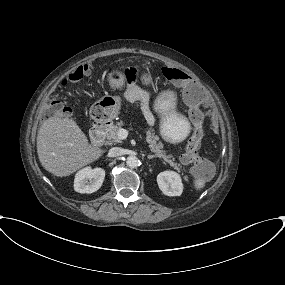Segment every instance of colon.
<instances>
[{
  "label": "colon",
  "instance_id": "1",
  "mask_svg": "<svg viewBox=\"0 0 285 285\" xmlns=\"http://www.w3.org/2000/svg\"><path fill=\"white\" fill-rule=\"evenodd\" d=\"M162 74L167 80L182 85L183 91L188 99L196 102L199 101L200 98L197 87L186 74L171 67L162 68ZM91 75V67L88 64L81 65L72 70L65 78H63L60 82V86L65 88L69 84L77 83L83 78ZM96 108L97 107H95L92 111L93 115L96 114ZM43 111L46 117L57 116L65 112V107L61 98L57 95H53L47 101ZM188 116L193 126V134L187 143L184 153L181 155V161L184 164L193 165V174L199 178L207 179L209 173L212 172V164L207 159L199 155V149L203 137L204 114L200 108L193 107L189 109Z\"/></svg>",
  "mask_w": 285,
  "mask_h": 285
}]
</instances>
